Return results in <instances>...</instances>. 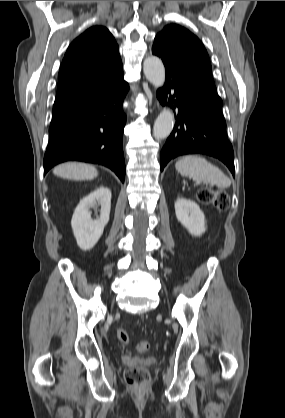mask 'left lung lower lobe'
<instances>
[{"label":"left lung lower lobe","mask_w":285,"mask_h":418,"mask_svg":"<svg viewBox=\"0 0 285 418\" xmlns=\"http://www.w3.org/2000/svg\"><path fill=\"white\" fill-rule=\"evenodd\" d=\"M152 53L159 56L166 70V83L158 89L162 105L178 110L173 132L160 154L161 171L173 158L185 154H206L220 159L235 174L234 152L226 134L223 102L215 84L172 56L154 42ZM170 94V95H169Z\"/></svg>","instance_id":"0a47b994"}]
</instances>
